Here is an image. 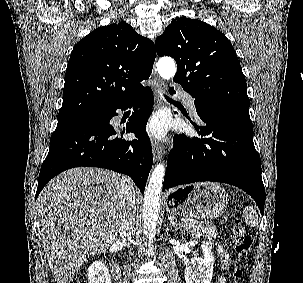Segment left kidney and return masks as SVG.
I'll list each match as a JSON object with an SVG mask.
<instances>
[{"mask_svg": "<svg viewBox=\"0 0 303 283\" xmlns=\"http://www.w3.org/2000/svg\"><path fill=\"white\" fill-rule=\"evenodd\" d=\"M201 249L204 257L192 258L185 268L186 283H211L215 261L212 253V244L203 242Z\"/></svg>", "mask_w": 303, "mask_h": 283, "instance_id": "obj_1", "label": "left kidney"}]
</instances>
